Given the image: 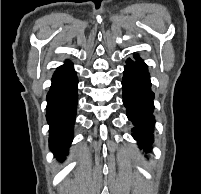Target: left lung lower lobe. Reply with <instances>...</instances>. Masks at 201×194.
<instances>
[{
	"label": "left lung lower lobe",
	"instance_id": "left-lung-lower-lobe-1",
	"mask_svg": "<svg viewBox=\"0 0 201 194\" xmlns=\"http://www.w3.org/2000/svg\"><path fill=\"white\" fill-rule=\"evenodd\" d=\"M135 60L127 59L122 80L123 103L127 117L133 123V138L145 152L150 151L154 142V92L151 90L148 67L134 55Z\"/></svg>",
	"mask_w": 201,
	"mask_h": 194
}]
</instances>
